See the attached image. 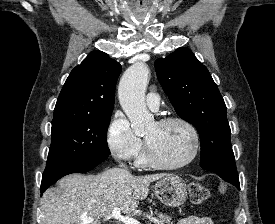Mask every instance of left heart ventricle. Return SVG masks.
<instances>
[{
    "instance_id": "obj_1",
    "label": "left heart ventricle",
    "mask_w": 275,
    "mask_h": 224,
    "mask_svg": "<svg viewBox=\"0 0 275 224\" xmlns=\"http://www.w3.org/2000/svg\"><path fill=\"white\" fill-rule=\"evenodd\" d=\"M155 156L162 162L178 164L192 153L193 140L190 131L181 123L160 126L154 123L144 135Z\"/></svg>"
}]
</instances>
